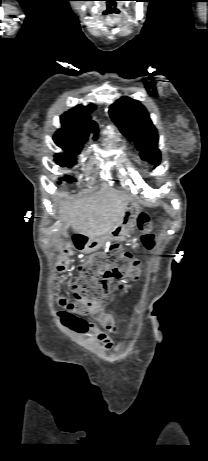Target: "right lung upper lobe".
<instances>
[{
    "instance_id": "right-lung-upper-lobe-1",
    "label": "right lung upper lobe",
    "mask_w": 208,
    "mask_h": 461,
    "mask_svg": "<svg viewBox=\"0 0 208 461\" xmlns=\"http://www.w3.org/2000/svg\"><path fill=\"white\" fill-rule=\"evenodd\" d=\"M95 109L94 105L77 106L61 117L62 128L56 134L69 137L72 139H81L88 137V133H97V125L90 120V114Z\"/></svg>"
}]
</instances>
